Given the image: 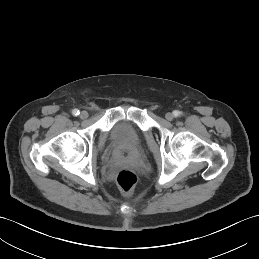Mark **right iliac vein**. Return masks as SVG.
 Instances as JSON below:
<instances>
[{"label": "right iliac vein", "instance_id": "right-iliac-vein-1", "mask_svg": "<svg viewBox=\"0 0 259 259\" xmlns=\"http://www.w3.org/2000/svg\"><path fill=\"white\" fill-rule=\"evenodd\" d=\"M88 117V112L87 111H82L81 113H80V118L81 119H86Z\"/></svg>", "mask_w": 259, "mask_h": 259}]
</instances>
